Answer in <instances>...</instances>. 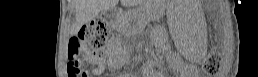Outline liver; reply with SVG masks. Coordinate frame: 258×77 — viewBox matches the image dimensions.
Segmentation results:
<instances>
[{
    "instance_id": "liver-1",
    "label": "liver",
    "mask_w": 258,
    "mask_h": 77,
    "mask_svg": "<svg viewBox=\"0 0 258 77\" xmlns=\"http://www.w3.org/2000/svg\"><path fill=\"white\" fill-rule=\"evenodd\" d=\"M118 3V0H75L76 20L73 26L74 33L97 17L100 12L107 11ZM126 1H122L124 5Z\"/></svg>"
}]
</instances>
